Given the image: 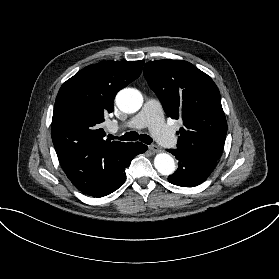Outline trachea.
I'll list each match as a JSON object with an SVG mask.
<instances>
[{
	"label": "trachea",
	"instance_id": "trachea-1",
	"mask_svg": "<svg viewBox=\"0 0 279 279\" xmlns=\"http://www.w3.org/2000/svg\"><path fill=\"white\" fill-rule=\"evenodd\" d=\"M115 137H113L111 135V139H114ZM140 140L141 142L145 143V144H151L152 143V138L149 135L146 134H141L139 135L137 132L135 131H130L128 133H126L125 135H123L120 140L123 141H127V140Z\"/></svg>",
	"mask_w": 279,
	"mask_h": 279
}]
</instances>
